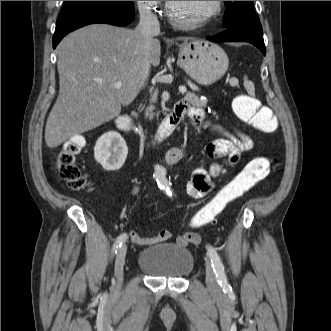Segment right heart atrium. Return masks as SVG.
<instances>
[{"mask_svg": "<svg viewBox=\"0 0 331 331\" xmlns=\"http://www.w3.org/2000/svg\"><path fill=\"white\" fill-rule=\"evenodd\" d=\"M159 1H137L138 10L142 13V19H153L159 15Z\"/></svg>", "mask_w": 331, "mask_h": 331, "instance_id": "d8ad5b80", "label": "right heart atrium"}]
</instances>
